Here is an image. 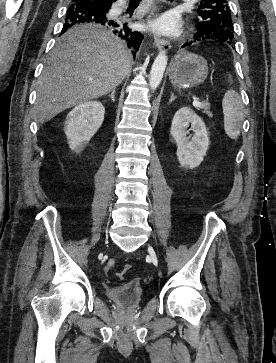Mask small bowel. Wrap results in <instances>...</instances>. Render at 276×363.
I'll use <instances>...</instances> for the list:
<instances>
[{
  "label": "small bowel",
  "instance_id": "small-bowel-1",
  "mask_svg": "<svg viewBox=\"0 0 276 363\" xmlns=\"http://www.w3.org/2000/svg\"><path fill=\"white\" fill-rule=\"evenodd\" d=\"M114 263H115V260L114 259L109 260L108 263H107L106 268L107 269H110L114 265Z\"/></svg>",
  "mask_w": 276,
  "mask_h": 363
}]
</instances>
